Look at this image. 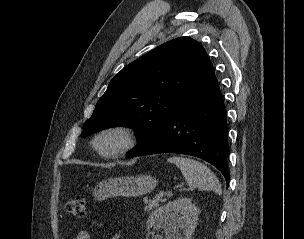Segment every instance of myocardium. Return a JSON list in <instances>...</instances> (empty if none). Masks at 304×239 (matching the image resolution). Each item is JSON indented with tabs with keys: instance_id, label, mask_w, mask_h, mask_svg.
<instances>
[{
	"instance_id": "f54148a6",
	"label": "myocardium",
	"mask_w": 304,
	"mask_h": 239,
	"mask_svg": "<svg viewBox=\"0 0 304 239\" xmlns=\"http://www.w3.org/2000/svg\"><path fill=\"white\" fill-rule=\"evenodd\" d=\"M107 136H115L119 140V144L111 149L104 150L100 142ZM137 143V136L135 130L123 124L110 125L100 129L93 139L94 149L103 157L117 158L132 150Z\"/></svg>"
}]
</instances>
